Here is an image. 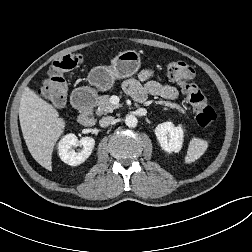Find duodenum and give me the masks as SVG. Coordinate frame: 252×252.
Listing matches in <instances>:
<instances>
[{
  "label": "duodenum",
  "mask_w": 252,
  "mask_h": 252,
  "mask_svg": "<svg viewBox=\"0 0 252 252\" xmlns=\"http://www.w3.org/2000/svg\"><path fill=\"white\" fill-rule=\"evenodd\" d=\"M72 104L80 112L78 122L83 126H93L95 121L90 115V107L94 102V95L88 89L76 90L72 95Z\"/></svg>",
  "instance_id": "obj_1"
}]
</instances>
